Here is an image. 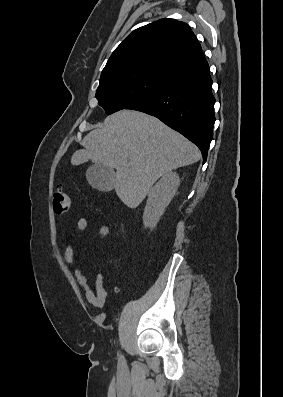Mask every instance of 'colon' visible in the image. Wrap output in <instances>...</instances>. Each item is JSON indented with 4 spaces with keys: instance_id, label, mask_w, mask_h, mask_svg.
I'll return each instance as SVG.
<instances>
[{
    "instance_id": "5ec220e1",
    "label": "colon",
    "mask_w": 283,
    "mask_h": 397,
    "mask_svg": "<svg viewBox=\"0 0 283 397\" xmlns=\"http://www.w3.org/2000/svg\"><path fill=\"white\" fill-rule=\"evenodd\" d=\"M71 200L69 195L62 189H57L54 193L53 208L58 214L65 213L70 209Z\"/></svg>"
}]
</instances>
